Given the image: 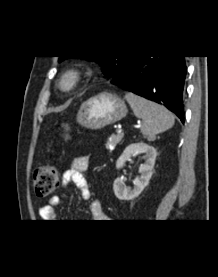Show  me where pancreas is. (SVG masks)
<instances>
[{"label": "pancreas", "instance_id": "obj_1", "mask_svg": "<svg viewBox=\"0 0 218 277\" xmlns=\"http://www.w3.org/2000/svg\"><path fill=\"white\" fill-rule=\"evenodd\" d=\"M124 134L120 133L108 138L105 146L108 150L114 149L122 140Z\"/></svg>", "mask_w": 218, "mask_h": 277}]
</instances>
